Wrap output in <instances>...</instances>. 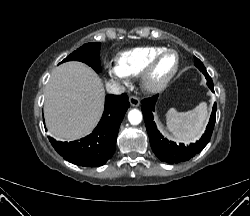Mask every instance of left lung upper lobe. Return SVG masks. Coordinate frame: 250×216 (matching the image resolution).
Wrapping results in <instances>:
<instances>
[{
  "mask_svg": "<svg viewBox=\"0 0 250 216\" xmlns=\"http://www.w3.org/2000/svg\"><path fill=\"white\" fill-rule=\"evenodd\" d=\"M195 66L202 72L203 70H206L203 63L198 59L195 58Z\"/></svg>",
  "mask_w": 250,
  "mask_h": 216,
  "instance_id": "5c2ea615",
  "label": "left lung upper lobe"
}]
</instances>
